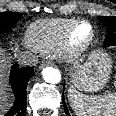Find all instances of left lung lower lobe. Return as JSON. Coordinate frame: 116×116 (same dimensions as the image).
Here are the masks:
<instances>
[{"label":"left lung lower lobe","mask_w":116,"mask_h":116,"mask_svg":"<svg viewBox=\"0 0 116 116\" xmlns=\"http://www.w3.org/2000/svg\"><path fill=\"white\" fill-rule=\"evenodd\" d=\"M62 100H63V104H64V109H65V113H66V116H70L69 112H68V109L66 107V103L64 101V95L62 96Z\"/></svg>","instance_id":"0a47b994"}]
</instances>
